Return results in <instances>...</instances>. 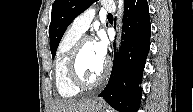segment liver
I'll return each mask as SVG.
<instances>
[{
  "mask_svg": "<svg viewBox=\"0 0 193 112\" xmlns=\"http://www.w3.org/2000/svg\"><path fill=\"white\" fill-rule=\"evenodd\" d=\"M93 99H65L54 105V112H91Z\"/></svg>",
  "mask_w": 193,
  "mask_h": 112,
  "instance_id": "liver-1",
  "label": "liver"
}]
</instances>
